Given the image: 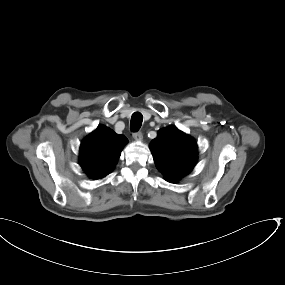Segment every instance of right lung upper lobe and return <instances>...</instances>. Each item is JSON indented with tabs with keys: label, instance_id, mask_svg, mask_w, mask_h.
Instances as JSON below:
<instances>
[{
	"label": "right lung upper lobe",
	"instance_id": "1",
	"mask_svg": "<svg viewBox=\"0 0 285 285\" xmlns=\"http://www.w3.org/2000/svg\"><path fill=\"white\" fill-rule=\"evenodd\" d=\"M128 142L124 135L99 125L81 143L79 162L92 179H101L116 165L123 147Z\"/></svg>",
	"mask_w": 285,
	"mask_h": 285
}]
</instances>
